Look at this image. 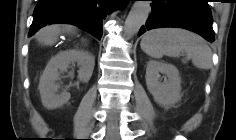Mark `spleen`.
Masks as SVG:
<instances>
[{
    "instance_id": "spleen-1",
    "label": "spleen",
    "mask_w": 236,
    "mask_h": 140,
    "mask_svg": "<svg viewBox=\"0 0 236 140\" xmlns=\"http://www.w3.org/2000/svg\"><path fill=\"white\" fill-rule=\"evenodd\" d=\"M141 49L150 57L160 59L163 55L179 57L186 53L195 67L210 69L212 51L205 40L185 29L161 28L148 31L141 40Z\"/></svg>"
}]
</instances>
